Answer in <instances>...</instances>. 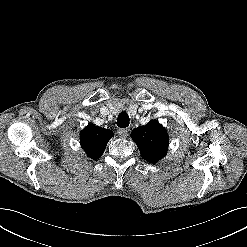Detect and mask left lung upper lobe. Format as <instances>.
Instances as JSON below:
<instances>
[{
	"label": "left lung upper lobe",
	"instance_id": "5c2ea615",
	"mask_svg": "<svg viewBox=\"0 0 247 247\" xmlns=\"http://www.w3.org/2000/svg\"><path fill=\"white\" fill-rule=\"evenodd\" d=\"M131 138L137 144L142 157L155 163L166 155L168 134L158 121L152 120L145 126L133 129Z\"/></svg>",
	"mask_w": 247,
	"mask_h": 247
}]
</instances>
